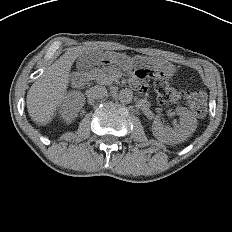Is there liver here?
Listing matches in <instances>:
<instances>
[{"label": "liver", "instance_id": "1", "mask_svg": "<svg viewBox=\"0 0 232 232\" xmlns=\"http://www.w3.org/2000/svg\"><path fill=\"white\" fill-rule=\"evenodd\" d=\"M67 55L54 62L29 89V112L38 124H46L52 119L56 102L66 93L69 69L76 54L69 50Z\"/></svg>", "mask_w": 232, "mask_h": 232}]
</instances>
